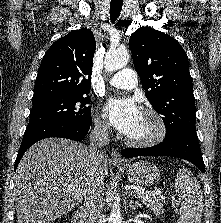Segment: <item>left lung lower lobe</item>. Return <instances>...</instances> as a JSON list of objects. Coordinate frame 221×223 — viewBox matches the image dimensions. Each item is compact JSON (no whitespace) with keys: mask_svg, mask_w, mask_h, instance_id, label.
Masks as SVG:
<instances>
[{"mask_svg":"<svg viewBox=\"0 0 221 223\" xmlns=\"http://www.w3.org/2000/svg\"><path fill=\"white\" fill-rule=\"evenodd\" d=\"M126 158L135 156H173L185 159L197 166L202 173L205 165L196 131H182L149 148H127L121 151Z\"/></svg>","mask_w":221,"mask_h":223,"instance_id":"0a47b994","label":"left lung lower lobe"}]
</instances>
